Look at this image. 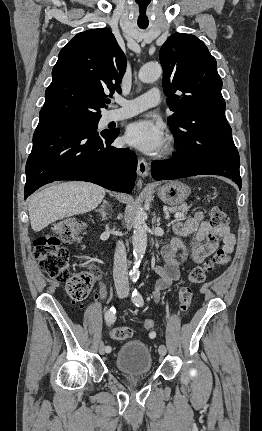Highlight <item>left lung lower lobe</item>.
<instances>
[{
  "label": "left lung lower lobe",
  "mask_w": 262,
  "mask_h": 431,
  "mask_svg": "<svg viewBox=\"0 0 262 431\" xmlns=\"http://www.w3.org/2000/svg\"><path fill=\"white\" fill-rule=\"evenodd\" d=\"M240 159L236 147L223 149L220 154L207 159L174 155L170 160L152 163V176L156 180L178 179L195 175H221L232 177L241 189Z\"/></svg>",
  "instance_id": "left-lung-lower-lobe-1"
}]
</instances>
